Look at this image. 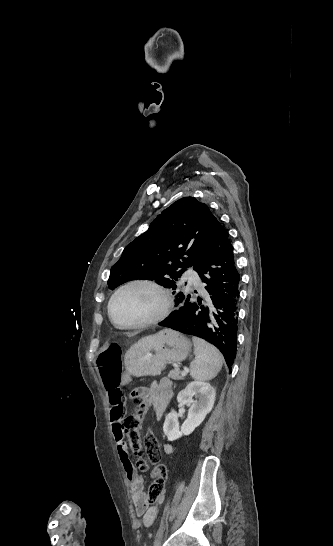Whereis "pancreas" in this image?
I'll list each match as a JSON object with an SVG mask.
<instances>
[{
	"instance_id": "1",
	"label": "pancreas",
	"mask_w": 333,
	"mask_h": 546,
	"mask_svg": "<svg viewBox=\"0 0 333 546\" xmlns=\"http://www.w3.org/2000/svg\"><path fill=\"white\" fill-rule=\"evenodd\" d=\"M168 376L173 380H183L184 377L181 375L179 369L171 370L168 374Z\"/></svg>"
}]
</instances>
